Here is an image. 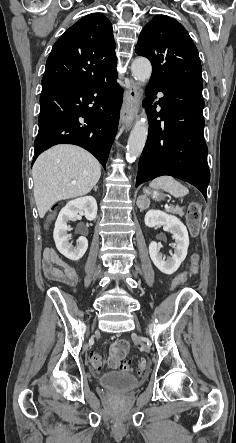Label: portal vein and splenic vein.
<instances>
[{"instance_id":"18ae733b","label":"portal vein and splenic vein","mask_w":236,"mask_h":443,"mask_svg":"<svg viewBox=\"0 0 236 443\" xmlns=\"http://www.w3.org/2000/svg\"><path fill=\"white\" fill-rule=\"evenodd\" d=\"M165 209H166V210H169L170 208H169V206L166 205V206H165Z\"/></svg>"}]
</instances>
